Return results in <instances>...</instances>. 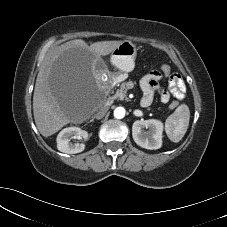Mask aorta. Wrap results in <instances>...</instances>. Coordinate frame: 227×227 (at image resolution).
<instances>
[{"label": "aorta", "mask_w": 227, "mask_h": 227, "mask_svg": "<svg viewBox=\"0 0 227 227\" xmlns=\"http://www.w3.org/2000/svg\"><path fill=\"white\" fill-rule=\"evenodd\" d=\"M125 113H126V111H125L124 107H117L114 110V117L116 119H122V118H124Z\"/></svg>", "instance_id": "aorta-1"}]
</instances>
